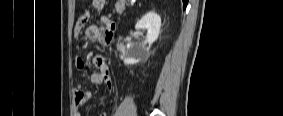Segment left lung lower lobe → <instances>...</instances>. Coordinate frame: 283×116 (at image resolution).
Listing matches in <instances>:
<instances>
[{
    "label": "left lung lower lobe",
    "instance_id": "1",
    "mask_svg": "<svg viewBox=\"0 0 283 116\" xmlns=\"http://www.w3.org/2000/svg\"><path fill=\"white\" fill-rule=\"evenodd\" d=\"M187 3H188V0H183V7H184V9H185Z\"/></svg>",
    "mask_w": 283,
    "mask_h": 116
}]
</instances>
